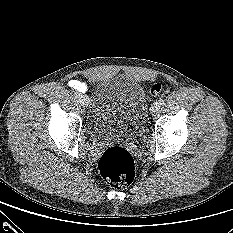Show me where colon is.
Listing matches in <instances>:
<instances>
[{
  "mask_svg": "<svg viewBox=\"0 0 233 233\" xmlns=\"http://www.w3.org/2000/svg\"><path fill=\"white\" fill-rule=\"evenodd\" d=\"M161 91V84L151 86L150 93L156 96ZM98 169L103 179L113 188L129 186L135 176V165L130 153L120 146L107 148L98 161Z\"/></svg>",
  "mask_w": 233,
  "mask_h": 233,
  "instance_id": "obj_1",
  "label": "colon"
}]
</instances>
